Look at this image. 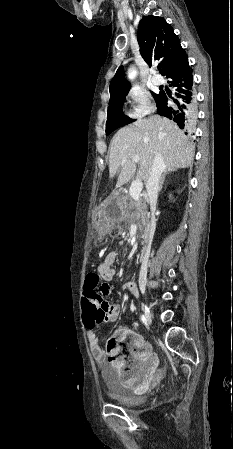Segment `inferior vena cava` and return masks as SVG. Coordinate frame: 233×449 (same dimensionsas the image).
I'll return each mask as SVG.
<instances>
[{"mask_svg": "<svg viewBox=\"0 0 233 449\" xmlns=\"http://www.w3.org/2000/svg\"><path fill=\"white\" fill-rule=\"evenodd\" d=\"M165 170V164L161 153H157L154 157L153 164L151 167V172L148 180L146 181V190L148 194V201L151 209V222L148 229L147 235V248L151 244V239L156 226L155 210L159 192V183L161 175ZM147 276V264L143 263L140 269V279H146Z\"/></svg>", "mask_w": 233, "mask_h": 449, "instance_id": "1", "label": "inferior vena cava"}]
</instances>
